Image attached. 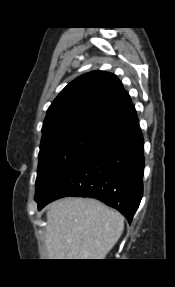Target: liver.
<instances>
[{"label": "liver", "instance_id": "1", "mask_svg": "<svg viewBox=\"0 0 175 287\" xmlns=\"http://www.w3.org/2000/svg\"><path fill=\"white\" fill-rule=\"evenodd\" d=\"M47 222L48 259H104L124 229L119 212L88 198L51 203Z\"/></svg>", "mask_w": 175, "mask_h": 287}]
</instances>
